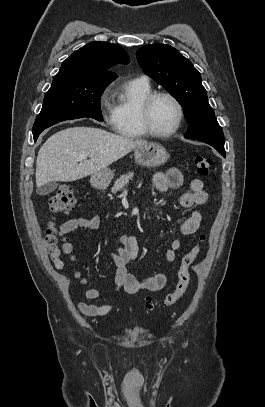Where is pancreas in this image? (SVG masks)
I'll return each instance as SVG.
<instances>
[{
    "label": "pancreas",
    "mask_w": 265,
    "mask_h": 407,
    "mask_svg": "<svg viewBox=\"0 0 265 407\" xmlns=\"http://www.w3.org/2000/svg\"><path fill=\"white\" fill-rule=\"evenodd\" d=\"M133 177L134 174L129 172L128 174L122 175L120 178H118L111 189L112 193L115 194L122 190L126 185L129 184V181L132 180Z\"/></svg>",
    "instance_id": "1"
}]
</instances>
